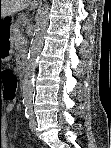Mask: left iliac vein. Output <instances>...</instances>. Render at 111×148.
<instances>
[{
  "mask_svg": "<svg viewBox=\"0 0 111 148\" xmlns=\"http://www.w3.org/2000/svg\"><path fill=\"white\" fill-rule=\"evenodd\" d=\"M29 128L31 129L32 132H34L36 129V119L33 115L30 118Z\"/></svg>",
  "mask_w": 111,
  "mask_h": 148,
  "instance_id": "1",
  "label": "left iliac vein"
}]
</instances>
